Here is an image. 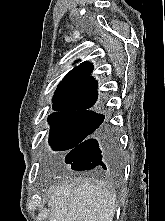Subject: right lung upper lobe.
Returning <instances> with one entry per match:
<instances>
[{
  "mask_svg": "<svg viewBox=\"0 0 165 221\" xmlns=\"http://www.w3.org/2000/svg\"><path fill=\"white\" fill-rule=\"evenodd\" d=\"M93 68L92 63L84 62L64 77L52 100L55 111L95 113L89 110L97 100V82L90 76Z\"/></svg>",
  "mask_w": 165,
  "mask_h": 221,
  "instance_id": "cb5924a9",
  "label": "right lung upper lobe"
}]
</instances>
